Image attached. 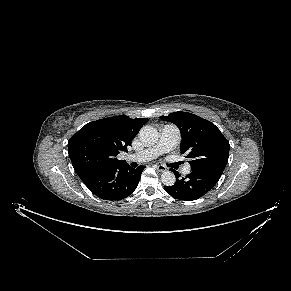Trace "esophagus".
<instances>
[{"mask_svg": "<svg viewBox=\"0 0 291 291\" xmlns=\"http://www.w3.org/2000/svg\"><path fill=\"white\" fill-rule=\"evenodd\" d=\"M156 169L159 171V172H164L167 170V168L164 166V165H157L156 166Z\"/></svg>", "mask_w": 291, "mask_h": 291, "instance_id": "obj_1", "label": "esophagus"}]
</instances>
